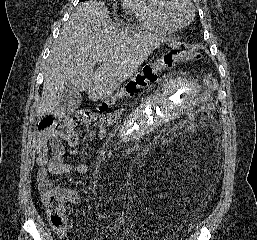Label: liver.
<instances>
[{
    "instance_id": "obj_1",
    "label": "liver",
    "mask_w": 257,
    "mask_h": 240,
    "mask_svg": "<svg viewBox=\"0 0 257 240\" xmlns=\"http://www.w3.org/2000/svg\"><path fill=\"white\" fill-rule=\"evenodd\" d=\"M165 41L156 34L109 23L108 9L100 1L80 3L50 51L38 115L57 113L68 83L78 92L88 90L92 101L111 97Z\"/></svg>"
}]
</instances>
